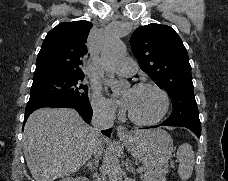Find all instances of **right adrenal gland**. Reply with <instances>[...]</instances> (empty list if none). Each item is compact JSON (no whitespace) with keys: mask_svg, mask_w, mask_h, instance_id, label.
Wrapping results in <instances>:
<instances>
[{"mask_svg":"<svg viewBox=\"0 0 228 181\" xmlns=\"http://www.w3.org/2000/svg\"><path fill=\"white\" fill-rule=\"evenodd\" d=\"M97 165H98V163H87L86 167H88L89 171H91V173H93V171H95ZM86 167H84V169H86Z\"/></svg>","mask_w":228,"mask_h":181,"instance_id":"2a0ac1e0","label":"right adrenal gland"}]
</instances>
